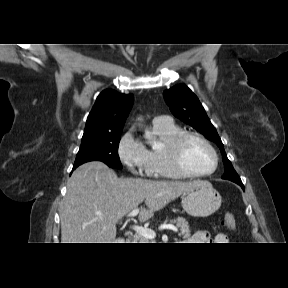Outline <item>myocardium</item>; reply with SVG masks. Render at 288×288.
<instances>
[{"mask_svg": "<svg viewBox=\"0 0 288 288\" xmlns=\"http://www.w3.org/2000/svg\"><path fill=\"white\" fill-rule=\"evenodd\" d=\"M189 139L202 142L213 154L214 167L206 173H194L187 169L183 162V148ZM166 156L172 168L181 176L188 178H206L213 175L219 167V155L214 146L201 134L191 131H182L177 134L166 146Z\"/></svg>", "mask_w": 288, "mask_h": 288, "instance_id": "1", "label": "myocardium"}]
</instances>
